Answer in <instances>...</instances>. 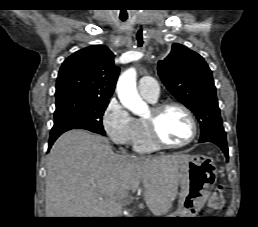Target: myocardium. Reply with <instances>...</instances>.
<instances>
[{
    "label": "myocardium",
    "instance_id": "obj_1",
    "mask_svg": "<svg viewBox=\"0 0 258 227\" xmlns=\"http://www.w3.org/2000/svg\"><path fill=\"white\" fill-rule=\"evenodd\" d=\"M172 107L179 108L180 110H182L187 115V117L190 121L191 127H192V132H191V135L189 136V138L180 143H169V142L165 141L161 137L159 130H158V126H157V119L161 115V113H163L166 109L172 108ZM151 111H152L153 115L151 118H146L145 123L147 125L150 137H151L153 143L157 147L181 148V147L189 145L196 139L197 134H198V124H197L194 114L186 105L179 103V102L168 101V102H163V103H158V104L153 105L151 108Z\"/></svg>",
    "mask_w": 258,
    "mask_h": 227
}]
</instances>
